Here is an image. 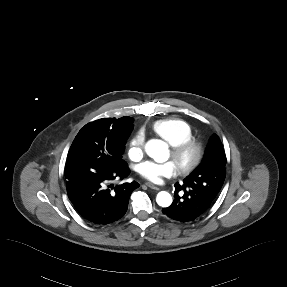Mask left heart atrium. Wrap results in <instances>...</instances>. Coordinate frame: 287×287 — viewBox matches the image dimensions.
Listing matches in <instances>:
<instances>
[{
    "label": "left heart atrium",
    "instance_id": "left-heart-atrium-1",
    "mask_svg": "<svg viewBox=\"0 0 287 287\" xmlns=\"http://www.w3.org/2000/svg\"><path fill=\"white\" fill-rule=\"evenodd\" d=\"M138 172L142 178L152 183H160L163 178L176 175L177 166L174 162L157 163L147 161L139 166Z\"/></svg>",
    "mask_w": 287,
    "mask_h": 287
}]
</instances>
